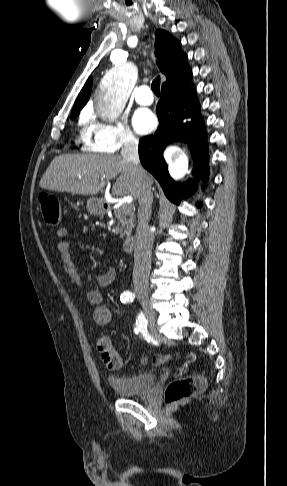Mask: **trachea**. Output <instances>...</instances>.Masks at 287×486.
<instances>
[{
    "label": "trachea",
    "mask_w": 287,
    "mask_h": 486,
    "mask_svg": "<svg viewBox=\"0 0 287 486\" xmlns=\"http://www.w3.org/2000/svg\"><path fill=\"white\" fill-rule=\"evenodd\" d=\"M152 91L156 94H160V76L156 77L151 84Z\"/></svg>",
    "instance_id": "obj_1"
}]
</instances>
